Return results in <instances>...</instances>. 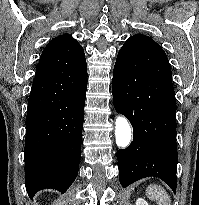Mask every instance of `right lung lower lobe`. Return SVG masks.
<instances>
[{
  "label": "right lung lower lobe",
  "mask_w": 199,
  "mask_h": 205,
  "mask_svg": "<svg viewBox=\"0 0 199 205\" xmlns=\"http://www.w3.org/2000/svg\"><path fill=\"white\" fill-rule=\"evenodd\" d=\"M34 81L28 101L24 150L29 197L51 188L62 193L78 174L87 72L65 78L60 90Z\"/></svg>",
  "instance_id": "right-lung-lower-lobe-1"
}]
</instances>
